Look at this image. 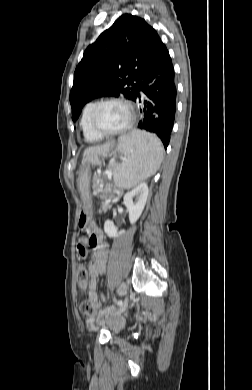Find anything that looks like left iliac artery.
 I'll use <instances>...</instances> for the list:
<instances>
[{"mask_svg": "<svg viewBox=\"0 0 252 390\" xmlns=\"http://www.w3.org/2000/svg\"><path fill=\"white\" fill-rule=\"evenodd\" d=\"M117 304L119 305V306H121L122 305V301H117Z\"/></svg>", "mask_w": 252, "mask_h": 390, "instance_id": "left-iliac-artery-1", "label": "left iliac artery"}]
</instances>
